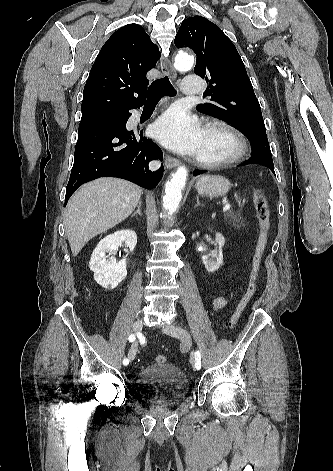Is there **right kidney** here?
I'll return each instance as SVG.
<instances>
[{
    "label": "right kidney",
    "mask_w": 333,
    "mask_h": 471,
    "mask_svg": "<svg viewBox=\"0 0 333 471\" xmlns=\"http://www.w3.org/2000/svg\"><path fill=\"white\" fill-rule=\"evenodd\" d=\"M123 243L133 251L137 244L136 233L120 230L110 234L98 243L92 253L89 267L94 272V280L105 289L116 288L127 276L125 259L120 262H116L113 257L108 259Z\"/></svg>",
    "instance_id": "right-kidney-1"
}]
</instances>
